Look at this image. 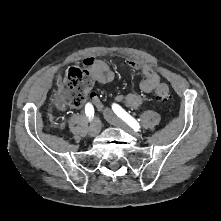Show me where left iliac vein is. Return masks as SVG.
<instances>
[{
    "label": "left iliac vein",
    "mask_w": 221,
    "mask_h": 221,
    "mask_svg": "<svg viewBox=\"0 0 221 221\" xmlns=\"http://www.w3.org/2000/svg\"><path fill=\"white\" fill-rule=\"evenodd\" d=\"M105 119L112 125L119 127L126 132H129L136 138H141V134L132 130L125 122H123L120 118H118L111 110L105 109L104 112Z\"/></svg>",
    "instance_id": "4c4485c4"
}]
</instances>
